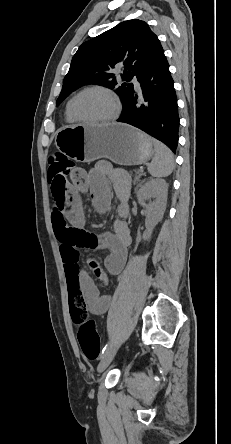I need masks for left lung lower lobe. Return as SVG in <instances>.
Returning <instances> with one entry per match:
<instances>
[{
	"mask_svg": "<svg viewBox=\"0 0 231 444\" xmlns=\"http://www.w3.org/2000/svg\"><path fill=\"white\" fill-rule=\"evenodd\" d=\"M140 92L128 95L118 122L131 124L176 152L179 115L169 65L162 48L137 73Z\"/></svg>",
	"mask_w": 231,
	"mask_h": 444,
	"instance_id": "1",
	"label": "left lung lower lobe"
}]
</instances>
